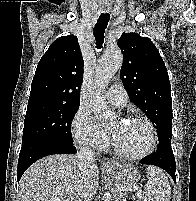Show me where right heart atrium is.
I'll return each mask as SVG.
<instances>
[{"mask_svg": "<svg viewBox=\"0 0 196 201\" xmlns=\"http://www.w3.org/2000/svg\"><path fill=\"white\" fill-rule=\"evenodd\" d=\"M72 135L75 143L95 151L105 150L109 144L107 135L93 121L90 113L80 108L72 121Z\"/></svg>", "mask_w": 196, "mask_h": 201, "instance_id": "d8ad5b80", "label": "right heart atrium"}]
</instances>
